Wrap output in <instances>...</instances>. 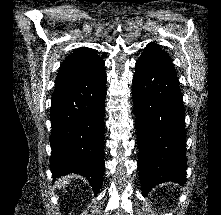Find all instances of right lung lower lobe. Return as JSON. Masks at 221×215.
Here are the masks:
<instances>
[{
  "instance_id": "right-lung-lower-lobe-1",
  "label": "right lung lower lobe",
  "mask_w": 221,
  "mask_h": 215,
  "mask_svg": "<svg viewBox=\"0 0 221 215\" xmlns=\"http://www.w3.org/2000/svg\"><path fill=\"white\" fill-rule=\"evenodd\" d=\"M106 73L54 91L50 120L53 178L80 174L97 194L104 174V113Z\"/></svg>"
}]
</instances>
